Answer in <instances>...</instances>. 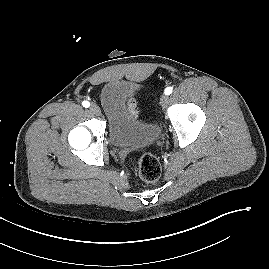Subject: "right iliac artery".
<instances>
[{
  "mask_svg": "<svg viewBox=\"0 0 269 269\" xmlns=\"http://www.w3.org/2000/svg\"><path fill=\"white\" fill-rule=\"evenodd\" d=\"M83 107L88 108L90 106V103L88 101L82 102Z\"/></svg>",
  "mask_w": 269,
  "mask_h": 269,
  "instance_id": "obj_1",
  "label": "right iliac artery"
}]
</instances>
